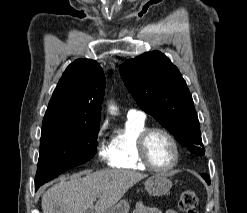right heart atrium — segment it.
Instances as JSON below:
<instances>
[{
  "instance_id": "1",
  "label": "right heart atrium",
  "mask_w": 247,
  "mask_h": 213,
  "mask_svg": "<svg viewBox=\"0 0 247 213\" xmlns=\"http://www.w3.org/2000/svg\"><path fill=\"white\" fill-rule=\"evenodd\" d=\"M106 127H107L106 124H102L97 134L96 151H97V156L101 161H109L110 159L109 146L104 141L101 140V136L104 133Z\"/></svg>"
}]
</instances>
